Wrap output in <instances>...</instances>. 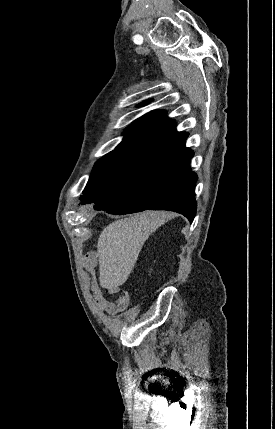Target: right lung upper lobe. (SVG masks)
I'll return each instance as SVG.
<instances>
[{
  "label": "right lung upper lobe",
  "mask_w": 275,
  "mask_h": 429,
  "mask_svg": "<svg viewBox=\"0 0 275 429\" xmlns=\"http://www.w3.org/2000/svg\"><path fill=\"white\" fill-rule=\"evenodd\" d=\"M142 103V105L148 104ZM125 138L114 151L152 159L168 148L184 141L187 132H177L175 121L165 116L161 110L151 111L135 120L125 129Z\"/></svg>",
  "instance_id": "obj_1"
}]
</instances>
